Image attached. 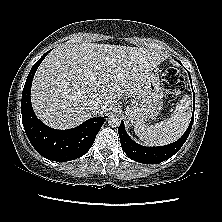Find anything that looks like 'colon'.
Instances as JSON below:
<instances>
[{
    "label": "colon",
    "mask_w": 222,
    "mask_h": 222,
    "mask_svg": "<svg viewBox=\"0 0 222 222\" xmlns=\"http://www.w3.org/2000/svg\"><path fill=\"white\" fill-rule=\"evenodd\" d=\"M162 85L168 98H174L184 90V79L173 67L167 68L162 75Z\"/></svg>",
    "instance_id": "1"
}]
</instances>
